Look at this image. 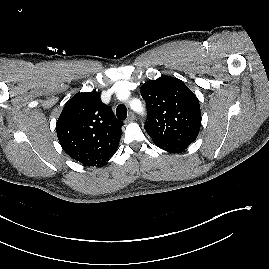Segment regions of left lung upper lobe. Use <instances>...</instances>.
<instances>
[{
	"label": "left lung upper lobe",
	"mask_w": 269,
	"mask_h": 269,
	"mask_svg": "<svg viewBox=\"0 0 269 269\" xmlns=\"http://www.w3.org/2000/svg\"><path fill=\"white\" fill-rule=\"evenodd\" d=\"M140 92L147 105L144 128L155 144L190 145L196 139L199 101L181 80L162 76L144 83Z\"/></svg>",
	"instance_id": "left-lung-upper-lobe-1"
}]
</instances>
